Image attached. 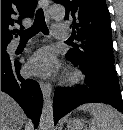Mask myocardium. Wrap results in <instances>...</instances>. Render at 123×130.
<instances>
[{
  "label": "myocardium",
  "mask_w": 123,
  "mask_h": 130,
  "mask_svg": "<svg viewBox=\"0 0 123 130\" xmlns=\"http://www.w3.org/2000/svg\"><path fill=\"white\" fill-rule=\"evenodd\" d=\"M82 79V74L79 72H73L69 75L68 80L72 83H76Z\"/></svg>",
  "instance_id": "1"
}]
</instances>
